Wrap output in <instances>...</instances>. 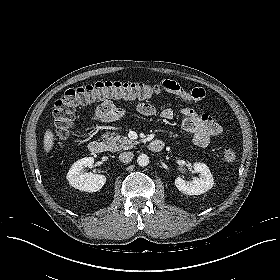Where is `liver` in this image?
<instances>
[{
    "mask_svg": "<svg viewBox=\"0 0 280 280\" xmlns=\"http://www.w3.org/2000/svg\"><path fill=\"white\" fill-rule=\"evenodd\" d=\"M43 144L45 152L48 153L52 150L54 144V134L51 130H46L44 134Z\"/></svg>",
    "mask_w": 280,
    "mask_h": 280,
    "instance_id": "obj_1",
    "label": "liver"
}]
</instances>
